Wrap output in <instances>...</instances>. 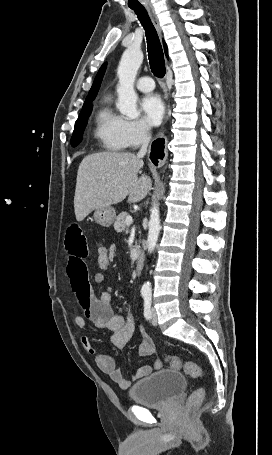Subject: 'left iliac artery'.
I'll use <instances>...</instances> for the list:
<instances>
[{"label":"left iliac artery","instance_id":"44dca946","mask_svg":"<svg viewBox=\"0 0 272 455\" xmlns=\"http://www.w3.org/2000/svg\"><path fill=\"white\" fill-rule=\"evenodd\" d=\"M151 294L144 295V317L149 320L151 318Z\"/></svg>","mask_w":272,"mask_h":455}]
</instances>
